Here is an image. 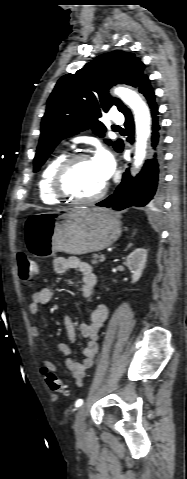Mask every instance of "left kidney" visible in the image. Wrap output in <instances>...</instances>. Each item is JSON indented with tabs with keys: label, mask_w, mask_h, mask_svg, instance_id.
Instances as JSON below:
<instances>
[{
	"label": "left kidney",
	"mask_w": 187,
	"mask_h": 479,
	"mask_svg": "<svg viewBox=\"0 0 187 479\" xmlns=\"http://www.w3.org/2000/svg\"><path fill=\"white\" fill-rule=\"evenodd\" d=\"M127 265L132 273V283L137 282L142 276V272L147 262V250L137 248L127 256Z\"/></svg>",
	"instance_id": "obj_1"
}]
</instances>
